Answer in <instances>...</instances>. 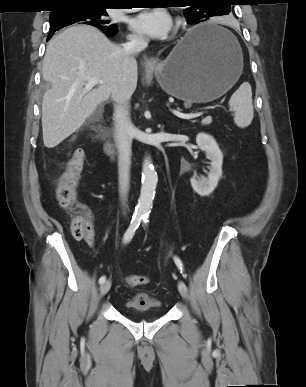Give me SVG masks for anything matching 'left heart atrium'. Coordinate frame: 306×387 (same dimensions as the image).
<instances>
[{
  "mask_svg": "<svg viewBox=\"0 0 306 387\" xmlns=\"http://www.w3.org/2000/svg\"><path fill=\"white\" fill-rule=\"evenodd\" d=\"M172 26L170 15L161 9L142 11L130 20V27L135 32L150 38L167 36Z\"/></svg>",
  "mask_w": 306,
  "mask_h": 387,
  "instance_id": "obj_1",
  "label": "left heart atrium"
}]
</instances>
